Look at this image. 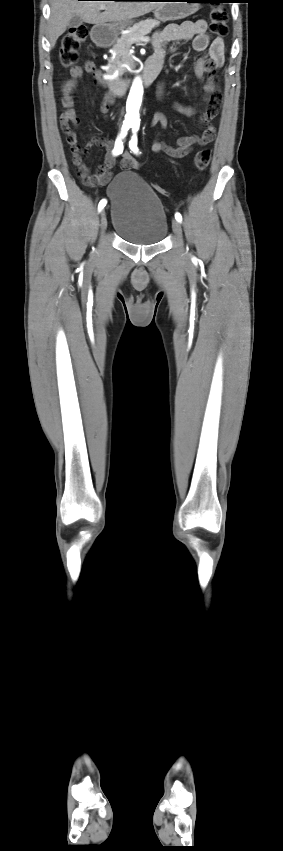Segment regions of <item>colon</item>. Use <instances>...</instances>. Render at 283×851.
<instances>
[{
	"label": "colon",
	"mask_w": 283,
	"mask_h": 851,
	"mask_svg": "<svg viewBox=\"0 0 283 851\" xmlns=\"http://www.w3.org/2000/svg\"><path fill=\"white\" fill-rule=\"evenodd\" d=\"M210 32L215 36H225L228 32L227 27V13L226 11L220 7H213L210 11ZM88 28L85 25H79L75 28L70 29L67 33H65L61 39V46L59 50V61L65 66H72L78 61L79 58V48L81 44L88 37ZM212 133V132H208ZM212 151L209 148H203L199 150L194 158V165L198 170H204L210 163ZM82 180L87 182L89 179L80 174ZM158 193L163 197H169L170 193L157 186L156 187Z\"/></svg>",
	"instance_id": "colon-1"
}]
</instances>
